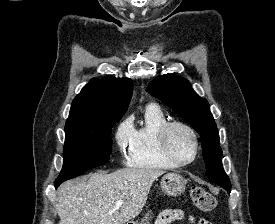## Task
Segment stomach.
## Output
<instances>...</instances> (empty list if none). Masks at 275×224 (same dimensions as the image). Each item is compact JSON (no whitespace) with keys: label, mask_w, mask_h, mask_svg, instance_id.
Segmentation results:
<instances>
[{"label":"stomach","mask_w":275,"mask_h":224,"mask_svg":"<svg viewBox=\"0 0 275 224\" xmlns=\"http://www.w3.org/2000/svg\"><path fill=\"white\" fill-rule=\"evenodd\" d=\"M186 183V180L176 173L164 175L160 182L163 193L171 197L181 195L185 191ZM151 218V211H148L139 222L131 221L127 224H150Z\"/></svg>","instance_id":"stomach-1"}]
</instances>
